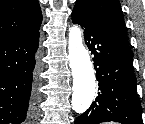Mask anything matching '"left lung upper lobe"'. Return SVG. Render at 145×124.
<instances>
[{"label": "left lung upper lobe", "mask_w": 145, "mask_h": 124, "mask_svg": "<svg viewBox=\"0 0 145 124\" xmlns=\"http://www.w3.org/2000/svg\"><path fill=\"white\" fill-rule=\"evenodd\" d=\"M73 11L128 43L119 0H77Z\"/></svg>", "instance_id": "obj_1"}]
</instances>
